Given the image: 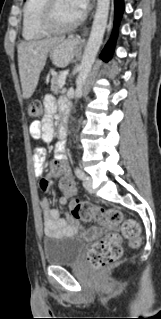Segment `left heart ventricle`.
<instances>
[{"label":"left heart ventricle","instance_id":"b2bd125f","mask_svg":"<svg viewBox=\"0 0 161 319\" xmlns=\"http://www.w3.org/2000/svg\"><path fill=\"white\" fill-rule=\"evenodd\" d=\"M80 13L72 0H57L54 20L57 25L64 26L74 21Z\"/></svg>","mask_w":161,"mask_h":319}]
</instances>
